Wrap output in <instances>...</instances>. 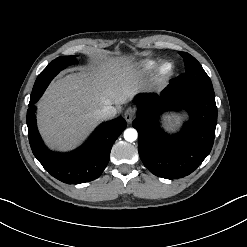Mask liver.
Instances as JSON below:
<instances>
[{
	"label": "liver",
	"mask_w": 247,
	"mask_h": 247,
	"mask_svg": "<svg viewBox=\"0 0 247 247\" xmlns=\"http://www.w3.org/2000/svg\"><path fill=\"white\" fill-rule=\"evenodd\" d=\"M131 58L105 59L96 67L53 82L38 102L39 131L48 146L66 151L79 144L99 123L104 106L121 105L142 90Z\"/></svg>",
	"instance_id": "obj_1"
}]
</instances>
